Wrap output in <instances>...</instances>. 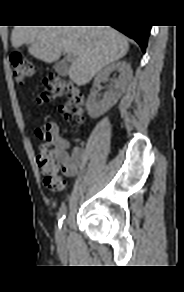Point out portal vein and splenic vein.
<instances>
[{
    "label": "portal vein and splenic vein",
    "instance_id": "obj_1",
    "mask_svg": "<svg viewBox=\"0 0 184 292\" xmlns=\"http://www.w3.org/2000/svg\"><path fill=\"white\" fill-rule=\"evenodd\" d=\"M66 58L68 61H72L73 55L71 53H67Z\"/></svg>",
    "mask_w": 184,
    "mask_h": 292
}]
</instances>
